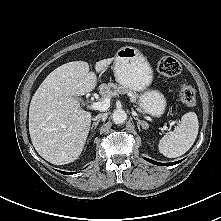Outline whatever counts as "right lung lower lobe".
Instances as JSON below:
<instances>
[{"label": "right lung lower lobe", "instance_id": "obj_1", "mask_svg": "<svg viewBox=\"0 0 221 221\" xmlns=\"http://www.w3.org/2000/svg\"><path fill=\"white\" fill-rule=\"evenodd\" d=\"M62 174H66V175H69V174H74L75 172H63V171H60Z\"/></svg>", "mask_w": 221, "mask_h": 221}]
</instances>
